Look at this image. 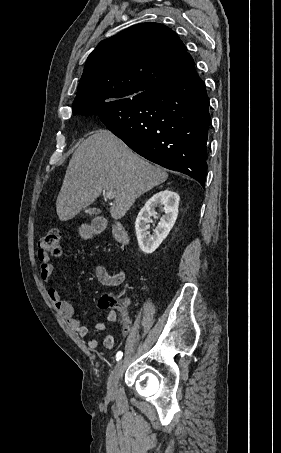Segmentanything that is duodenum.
<instances>
[{
	"label": "duodenum",
	"mask_w": 281,
	"mask_h": 453,
	"mask_svg": "<svg viewBox=\"0 0 281 453\" xmlns=\"http://www.w3.org/2000/svg\"><path fill=\"white\" fill-rule=\"evenodd\" d=\"M102 227H103L102 224H98L95 227V230L96 231H101ZM113 232H114V235H115L117 240H119L120 242H126L127 235H126L124 229L121 226L115 225L114 228H113Z\"/></svg>",
	"instance_id": "1"
}]
</instances>
